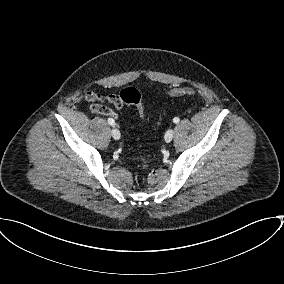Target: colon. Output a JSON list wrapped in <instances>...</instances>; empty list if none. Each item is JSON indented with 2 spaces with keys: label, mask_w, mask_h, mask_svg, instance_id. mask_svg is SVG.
Instances as JSON below:
<instances>
[{
  "label": "colon",
  "mask_w": 284,
  "mask_h": 284,
  "mask_svg": "<svg viewBox=\"0 0 284 284\" xmlns=\"http://www.w3.org/2000/svg\"><path fill=\"white\" fill-rule=\"evenodd\" d=\"M195 91L192 88H176L169 92L170 96L176 97V96H191L194 95ZM120 99L124 102V104L127 105H134L137 109V112L141 118L144 116V108L141 102V96L137 89L128 87L123 89L119 93ZM142 166L144 168L148 167V161L140 156Z\"/></svg>",
  "instance_id": "obj_1"
}]
</instances>
